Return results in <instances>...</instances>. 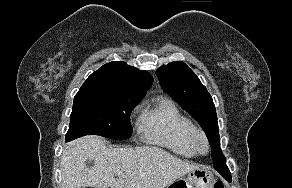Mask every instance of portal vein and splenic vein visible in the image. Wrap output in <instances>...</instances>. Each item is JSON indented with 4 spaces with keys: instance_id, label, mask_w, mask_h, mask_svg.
I'll return each mask as SVG.
<instances>
[{
    "instance_id": "1",
    "label": "portal vein and splenic vein",
    "mask_w": 292,
    "mask_h": 188,
    "mask_svg": "<svg viewBox=\"0 0 292 188\" xmlns=\"http://www.w3.org/2000/svg\"><path fill=\"white\" fill-rule=\"evenodd\" d=\"M121 174H122V173H121V172H119V173H118V176H120Z\"/></svg>"
}]
</instances>
